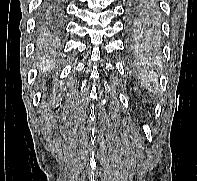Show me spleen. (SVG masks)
I'll return each instance as SVG.
<instances>
[{"label":"spleen","mask_w":197,"mask_h":181,"mask_svg":"<svg viewBox=\"0 0 197 181\" xmlns=\"http://www.w3.org/2000/svg\"><path fill=\"white\" fill-rule=\"evenodd\" d=\"M141 81L148 90L152 91V87L157 83V76L153 71H143Z\"/></svg>","instance_id":"1"}]
</instances>
